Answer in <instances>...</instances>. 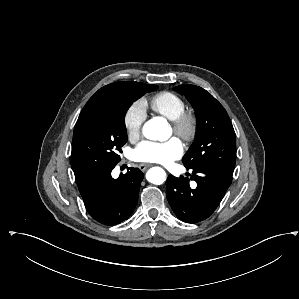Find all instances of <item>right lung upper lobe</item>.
<instances>
[{"mask_svg":"<svg viewBox=\"0 0 299 299\" xmlns=\"http://www.w3.org/2000/svg\"><path fill=\"white\" fill-rule=\"evenodd\" d=\"M143 83L132 81H120L104 86L98 90L86 103L77 122L82 120L89 112L95 109L105 100L122 93L134 92L140 89Z\"/></svg>","mask_w":299,"mask_h":299,"instance_id":"1","label":"right lung upper lobe"}]
</instances>
